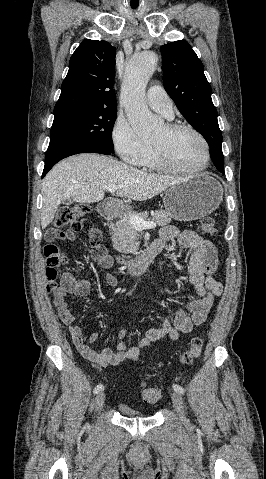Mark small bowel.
Here are the masks:
<instances>
[{
    "instance_id": "c3829d8e",
    "label": "small bowel",
    "mask_w": 266,
    "mask_h": 479,
    "mask_svg": "<svg viewBox=\"0 0 266 479\" xmlns=\"http://www.w3.org/2000/svg\"><path fill=\"white\" fill-rule=\"evenodd\" d=\"M58 237L74 241L75 234L70 231H59ZM159 241L164 247L168 242L175 241L180 247L191 249L189 263V282L194 287L191 299L185 303L186 311H177L165 316L162 324L148 330L145 336L138 341L136 346L128 347L123 342H118L116 351L111 349H96L91 344L98 338L97 333H92L87 340L83 328L76 323L79 316L70 306L67 296L87 299L90 296L91 286L86 279L76 278L72 273L62 274L58 284L51 289L53 305L60 320L66 325L72 342L77 351L87 360L101 367L118 365L125 361H139L142 350L148 348L152 342L169 337L178 340L179 336L189 333L195 326L203 324L213 305L214 299L223 292V284L215 278L218 267L217 250L213 243L202 238L194 231L179 232L174 226H164L160 230ZM91 248H98L100 254L93 257V261L101 268L108 269L113 266V258L100 249L98 245L91 244ZM105 282L109 287L118 285V278L113 273L105 276ZM120 314V312H118ZM125 336V329L119 331V339Z\"/></svg>"
}]
</instances>
